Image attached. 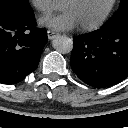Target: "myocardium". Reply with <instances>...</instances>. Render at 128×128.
<instances>
[{
  "label": "myocardium",
  "instance_id": "f54148a6",
  "mask_svg": "<svg viewBox=\"0 0 128 128\" xmlns=\"http://www.w3.org/2000/svg\"><path fill=\"white\" fill-rule=\"evenodd\" d=\"M118 0H111L109 6L103 12V14L93 23L87 25H80L79 28L82 31H92L104 24V22L108 19L113 9L115 8Z\"/></svg>",
  "mask_w": 128,
  "mask_h": 128
}]
</instances>
